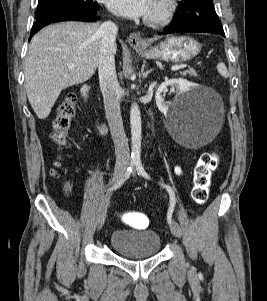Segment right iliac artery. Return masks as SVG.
Masks as SVG:
<instances>
[{
    "instance_id": "obj_1",
    "label": "right iliac artery",
    "mask_w": 267,
    "mask_h": 301,
    "mask_svg": "<svg viewBox=\"0 0 267 301\" xmlns=\"http://www.w3.org/2000/svg\"><path fill=\"white\" fill-rule=\"evenodd\" d=\"M134 164H135L134 162H131V163H130V165H129V167L127 168V171H126L124 177H123L116 185H114L113 187H111V188L109 189V191L115 190V189L119 188V187L124 183V181H125L126 179L129 178L130 174H131L132 171H133Z\"/></svg>"
}]
</instances>
